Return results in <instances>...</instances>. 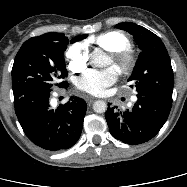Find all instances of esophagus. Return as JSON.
<instances>
[{
  "mask_svg": "<svg viewBox=\"0 0 187 187\" xmlns=\"http://www.w3.org/2000/svg\"><path fill=\"white\" fill-rule=\"evenodd\" d=\"M96 99L91 96H86L85 101L87 102L88 105H91Z\"/></svg>",
  "mask_w": 187,
  "mask_h": 187,
  "instance_id": "34e87169",
  "label": "esophagus"
}]
</instances>
